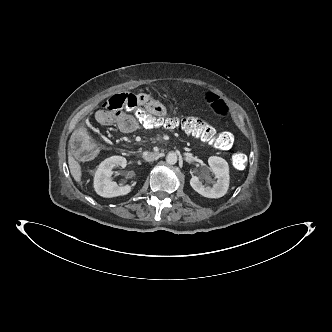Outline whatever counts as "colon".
Segmentation results:
<instances>
[{
	"instance_id": "colon-1",
	"label": "colon",
	"mask_w": 332,
	"mask_h": 332,
	"mask_svg": "<svg viewBox=\"0 0 332 332\" xmlns=\"http://www.w3.org/2000/svg\"><path fill=\"white\" fill-rule=\"evenodd\" d=\"M137 96L131 93L116 94L107 99L102 110L113 111L127 110L136 115L141 128H165L169 130H184L196 138L210 142L219 149H227L233 143V136L227 131H216L206 121L196 117L170 116L166 119L155 117L146 112L137 103ZM200 102L208 108V111L217 120H227L231 116V107L213 89H204L200 93ZM74 154L82 159H90L95 155L94 146L85 135L79 134L71 141ZM235 169L241 170L247 163V156L242 151H237L232 157Z\"/></svg>"
}]
</instances>
